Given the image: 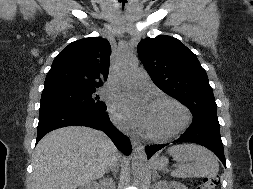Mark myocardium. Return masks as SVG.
Masks as SVG:
<instances>
[{"label": "myocardium", "mask_w": 253, "mask_h": 189, "mask_svg": "<svg viewBox=\"0 0 253 189\" xmlns=\"http://www.w3.org/2000/svg\"><path fill=\"white\" fill-rule=\"evenodd\" d=\"M161 102L169 103L173 105L174 107H176L181 113V121L173 130L167 133H163V134L154 133L145 129V136L148 139L155 140V141H165L177 136L178 134L183 132L189 126L191 122L190 111L180 101L167 95H161V96L155 97L152 104H157Z\"/></svg>", "instance_id": "1"}]
</instances>
